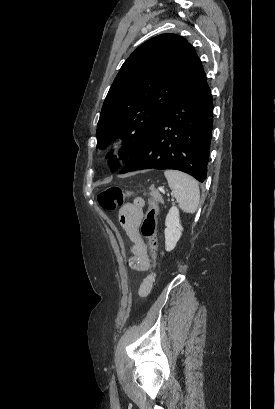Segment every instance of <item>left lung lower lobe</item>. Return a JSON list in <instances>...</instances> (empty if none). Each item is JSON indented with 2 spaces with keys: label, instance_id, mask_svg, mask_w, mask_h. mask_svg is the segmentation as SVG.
I'll list each match as a JSON object with an SVG mask.
<instances>
[{
  "label": "left lung lower lobe",
  "instance_id": "0a47b994",
  "mask_svg": "<svg viewBox=\"0 0 275 409\" xmlns=\"http://www.w3.org/2000/svg\"><path fill=\"white\" fill-rule=\"evenodd\" d=\"M212 129L213 99L205 78L164 113L119 173L176 169L203 182Z\"/></svg>",
  "mask_w": 275,
  "mask_h": 409
}]
</instances>
